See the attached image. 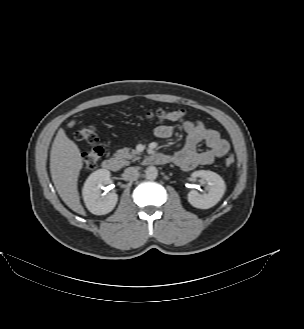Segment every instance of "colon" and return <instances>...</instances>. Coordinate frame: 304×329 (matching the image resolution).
Returning a JSON list of instances; mask_svg holds the SVG:
<instances>
[{
  "label": "colon",
  "mask_w": 304,
  "mask_h": 329,
  "mask_svg": "<svg viewBox=\"0 0 304 329\" xmlns=\"http://www.w3.org/2000/svg\"><path fill=\"white\" fill-rule=\"evenodd\" d=\"M187 111L180 109L177 111H166L163 109H158L155 111H149L145 114L148 120L165 123L182 121L185 119ZM75 138L77 141L85 142L91 146V148L85 153L82 161L83 171H91L96 168L99 160L103 155V148L100 144L97 130L92 125L81 126L75 133ZM235 162V157L231 152H228L224 156V163L227 166H232Z\"/></svg>",
  "instance_id": "colon-1"
}]
</instances>
